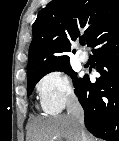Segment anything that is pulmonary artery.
<instances>
[{
	"label": "pulmonary artery",
	"instance_id": "1",
	"mask_svg": "<svg viewBox=\"0 0 119 141\" xmlns=\"http://www.w3.org/2000/svg\"><path fill=\"white\" fill-rule=\"evenodd\" d=\"M78 58L79 60L82 62V63H85L89 60V56L88 54L85 52V51H81L79 54H78Z\"/></svg>",
	"mask_w": 119,
	"mask_h": 141
}]
</instances>
